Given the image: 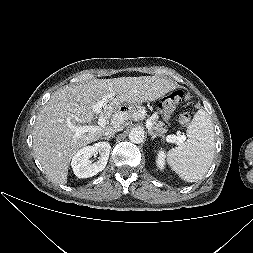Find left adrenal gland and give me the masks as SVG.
<instances>
[{"label": "left adrenal gland", "mask_w": 253, "mask_h": 253, "mask_svg": "<svg viewBox=\"0 0 253 253\" xmlns=\"http://www.w3.org/2000/svg\"><path fill=\"white\" fill-rule=\"evenodd\" d=\"M149 134L151 135V139L154 140L158 135L153 133L152 131H149Z\"/></svg>", "instance_id": "obj_1"}]
</instances>
